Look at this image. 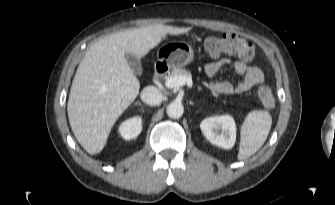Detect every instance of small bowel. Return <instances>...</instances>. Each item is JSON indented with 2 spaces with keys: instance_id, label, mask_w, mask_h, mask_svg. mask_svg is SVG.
<instances>
[{
  "instance_id": "c3829d8e",
  "label": "small bowel",
  "mask_w": 335,
  "mask_h": 205,
  "mask_svg": "<svg viewBox=\"0 0 335 205\" xmlns=\"http://www.w3.org/2000/svg\"><path fill=\"white\" fill-rule=\"evenodd\" d=\"M230 63H232L235 73L241 77L240 81L236 85L226 80L220 81L211 85L212 90L222 94L244 93L264 81V73L259 66H248L242 60L232 61L229 58L208 63L205 66V72L208 76L213 77L224 65Z\"/></svg>"
}]
</instances>
